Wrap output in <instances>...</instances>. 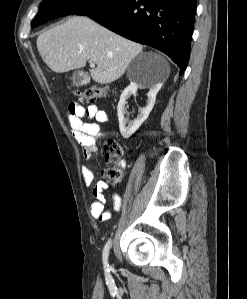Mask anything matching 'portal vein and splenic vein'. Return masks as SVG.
Returning <instances> with one entry per match:
<instances>
[{
	"instance_id": "portal-vein-and-splenic-vein-1",
	"label": "portal vein and splenic vein",
	"mask_w": 247,
	"mask_h": 299,
	"mask_svg": "<svg viewBox=\"0 0 247 299\" xmlns=\"http://www.w3.org/2000/svg\"><path fill=\"white\" fill-rule=\"evenodd\" d=\"M90 62V67H95V64L92 62V61H89Z\"/></svg>"
}]
</instances>
